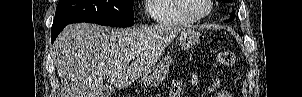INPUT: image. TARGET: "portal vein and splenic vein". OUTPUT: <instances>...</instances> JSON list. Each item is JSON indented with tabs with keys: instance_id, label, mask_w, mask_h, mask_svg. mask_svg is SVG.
<instances>
[{
	"instance_id": "portal-vein-and-splenic-vein-1",
	"label": "portal vein and splenic vein",
	"mask_w": 302,
	"mask_h": 97,
	"mask_svg": "<svg viewBox=\"0 0 302 97\" xmlns=\"http://www.w3.org/2000/svg\"><path fill=\"white\" fill-rule=\"evenodd\" d=\"M127 59H128V60H132V56H129Z\"/></svg>"
}]
</instances>
